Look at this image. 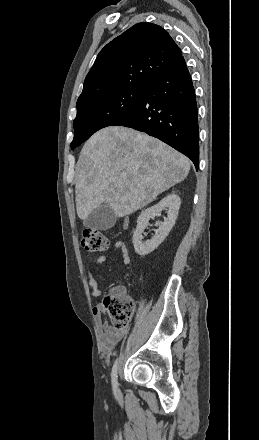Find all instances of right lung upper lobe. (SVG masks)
I'll use <instances>...</instances> for the list:
<instances>
[{
  "label": "right lung upper lobe",
  "instance_id": "right-lung-upper-lobe-1",
  "mask_svg": "<svg viewBox=\"0 0 259 440\" xmlns=\"http://www.w3.org/2000/svg\"><path fill=\"white\" fill-rule=\"evenodd\" d=\"M181 58L180 48L162 27L138 23L100 51L77 107L121 89L148 88Z\"/></svg>",
  "mask_w": 259,
  "mask_h": 440
}]
</instances>
